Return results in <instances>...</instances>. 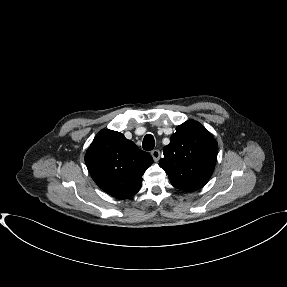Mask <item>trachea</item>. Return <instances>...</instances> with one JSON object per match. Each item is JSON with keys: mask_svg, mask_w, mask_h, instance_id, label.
I'll use <instances>...</instances> for the list:
<instances>
[{"mask_svg": "<svg viewBox=\"0 0 287 287\" xmlns=\"http://www.w3.org/2000/svg\"><path fill=\"white\" fill-rule=\"evenodd\" d=\"M142 147L147 151L153 150L155 147L154 137L150 134L146 135L143 139Z\"/></svg>", "mask_w": 287, "mask_h": 287, "instance_id": "1", "label": "trachea"}]
</instances>
